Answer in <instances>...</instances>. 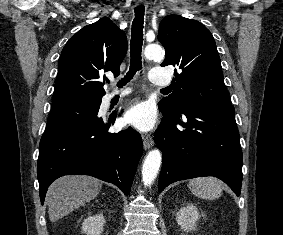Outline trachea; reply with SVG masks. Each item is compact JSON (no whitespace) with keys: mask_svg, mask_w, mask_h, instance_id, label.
<instances>
[{"mask_svg":"<svg viewBox=\"0 0 283 235\" xmlns=\"http://www.w3.org/2000/svg\"><path fill=\"white\" fill-rule=\"evenodd\" d=\"M135 18L132 22L131 42H130V68L126 76L117 84L119 88L126 85L137 71L142 69V44H143V24H144V6H138L134 9Z\"/></svg>","mask_w":283,"mask_h":235,"instance_id":"1","label":"trachea"}]
</instances>
